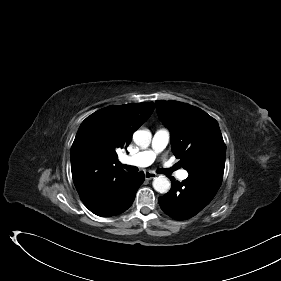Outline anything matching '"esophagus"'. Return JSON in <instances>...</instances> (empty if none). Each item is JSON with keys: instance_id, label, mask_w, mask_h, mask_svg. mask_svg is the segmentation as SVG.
Segmentation results:
<instances>
[{"instance_id": "esophagus-1", "label": "esophagus", "mask_w": 281, "mask_h": 281, "mask_svg": "<svg viewBox=\"0 0 281 281\" xmlns=\"http://www.w3.org/2000/svg\"><path fill=\"white\" fill-rule=\"evenodd\" d=\"M156 176H157V174L154 173V172H151V171L145 172V179L146 180H151V179L155 178Z\"/></svg>"}]
</instances>
